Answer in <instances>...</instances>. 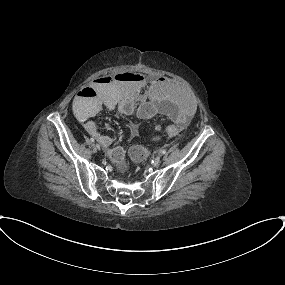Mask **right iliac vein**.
Instances as JSON below:
<instances>
[{"label":"right iliac vein","mask_w":285,"mask_h":285,"mask_svg":"<svg viewBox=\"0 0 285 285\" xmlns=\"http://www.w3.org/2000/svg\"><path fill=\"white\" fill-rule=\"evenodd\" d=\"M95 148H96V150H100V149H101L100 144H99V143H96V144H95Z\"/></svg>","instance_id":"right-iliac-vein-1"}]
</instances>
